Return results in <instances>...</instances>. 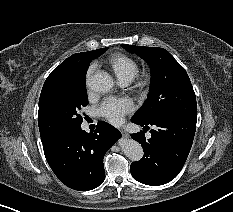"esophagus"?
Returning <instances> with one entry per match:
<instances>
[{
    "label": "esophagus",
    "instance_id": "1",
    "mask_svg": "<svg viewBox=\"0 0 233 212\" xmlns=\"http://www.w3.org/2000/svg\"><path fill=\"white\" fill-rule=\"evenodd\" d=\"M121 134L124 138L128 137V133L125 130H121Z\"/></svg>",
    "mask_w": 233,
    "mask_h": 212
}]
</instances>
